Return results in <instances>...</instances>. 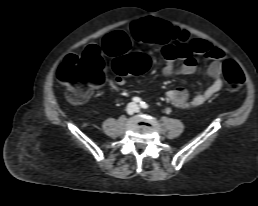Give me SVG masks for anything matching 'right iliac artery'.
I'll return each mask as SVG.
<instances>
[{"label":"right iliac artery","instance_id":"1","mask_svg":"<svg viewBox=\"0 0 258 206\" xmlns=\"http://www.w3.org/2000/svg\"><path fill=\"white\" fill-rule=\"evenodd\" d=\"M132 100H133L134 102H140V103H141V99H140L139 97H134Z\"/></svg>","mask_w":258,"mask_h":206}]
</instances>
